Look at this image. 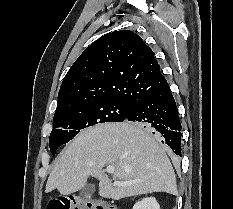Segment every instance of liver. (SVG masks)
Returning <instances> with one entry per match:
<instances>
[{
	"label": "liver",
	"instance_id": "obj_1",
	"mask_svg": "<svg viewBox=\"0 0 233 209\" xmlns=\"http://www.w3.org/2000/svg\"><path fill=\"white\" fill-rule=\"evenodd\" d=\"M113 166L112 179L105 173ZM89 176L99 180V195L120 200L153 192L177 195L174 170L157 140L136 123H106L81 131L56 161L45 192L69 195L82 189Z\"/></svg>",
	"mask_w": 233,
	"mask_h": 209
}]
</instances>
